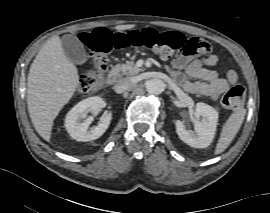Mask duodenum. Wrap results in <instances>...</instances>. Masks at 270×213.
<instances>
[{"label":"duodenum","instance_id":"1","mask_svg":"<svg viewBox=\"0 0 270 213\" xmlns=\"http://www.w3.org/2000/svg\"><path fill=\"white\" fill-rule=\"evenodd\" d=\"M120 77H121L120 71L117 69H112L107 75V83L114 84L118 82Z\"/></svg>","mask_w":270,"mask_h":213}]
</instances>
